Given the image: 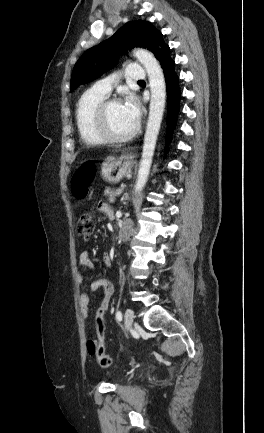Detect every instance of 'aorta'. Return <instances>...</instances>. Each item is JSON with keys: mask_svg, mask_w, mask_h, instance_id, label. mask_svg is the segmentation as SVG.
<instances>
[{"mask_svg": "<svg viewBox=\"0 0 264 433\" xmlns=\"http://www.w3.org/2000/svg\"><path fill=\"white\" fill-rule=\"evenodd\" d=\"M133 55L146 69L151 91L149 116L135 185V191L139 192L144 188L149 177L166 103V84L162 68L152 53L144 49H136Z\"/></svg>", "mask_w": 264, "mask_h": 433, "instance_id": "762f6f07", "label": "aorta"}]
</instances>
